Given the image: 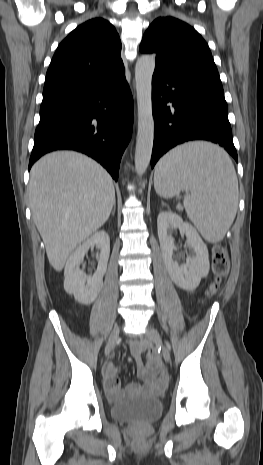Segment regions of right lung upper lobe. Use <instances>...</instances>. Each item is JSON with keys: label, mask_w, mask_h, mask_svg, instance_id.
Returning a JSON list of instances; mask_svg holds the SVG:
<instances>
[{"label": "right lung upper lobe", "mask_w": 263, "mask_h": 465, "mask_svg": "<svg viewBox=\"0 0 263 465\" xmlns=\"http://www.w3.org/2000/svg\"><path fill=\"white\" fill-rule=\"evenodd\" d=\"M121 41L111 23L94 18L79 25L58 46L48 68L43 97L101 85L124 75Z\"/></svg>", "instance_id": "obj_1"}]
</instances>
